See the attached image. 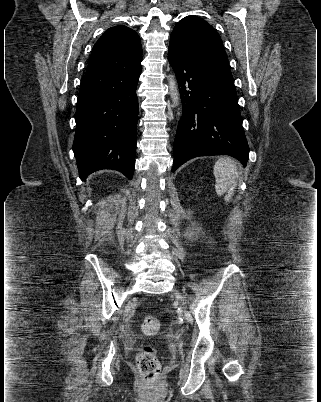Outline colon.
Masks as SVG:
<instances>
[{"label": "colon", "instance_id": "colon-1", "mask_svg": "<svg viewBox=\"0 0 321 402\" xmlns=\"http://www.w3.org/2000/svg\"><path fill=\"white\" fill-rule=\"evenodd\" d=\"M141 328L148 335L154 334L159 329V321L153 316H147L143 319ZM136 364L147 383L154 385L161 370L155 349L149 345L143 346L137 354Z\"/></svg>", "mask_w": 321, "mask_h": 402}]
</instances>
